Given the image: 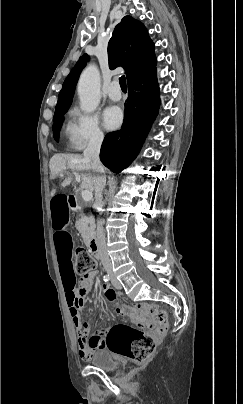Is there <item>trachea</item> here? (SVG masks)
<instances>
[{
    "mask_svg": "<svg viewBox=\"0 0 243 404\" xmlns=\"http://www.w3.org/2000/svg\"><path fill=\"white\" fill-rule=\"evenodd\" d=\"M119 84H120V87H121V89H122L123 91H126V90H127L126 78H125L124 75H122V77H120V79H119Z\"/></svg>",
    "mask_w": 243,
    "mask_h": 404,
    "instance_id": "obj_1",
    "label": "trachea"
}]
</instances>
